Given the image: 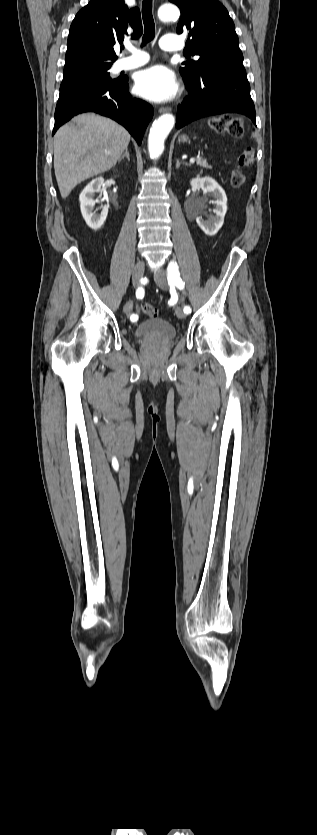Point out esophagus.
I'll return each instance as SVG.
<instances>
[{"label": "esophagus", "instance_id": "1", "mask_svg": "<svg viewBox=\"0 0 317 835\" xmlns=\"http://www.w3.org/2000/svg\"><path fill=\"white\" fill-rule=\"evenodd\" d=\"M170 111H171L170 107H160L159 108L160 113H166V112H170Z\"/></svg>", "mask_w": 317, "mask_h": 835}]
</instances>
